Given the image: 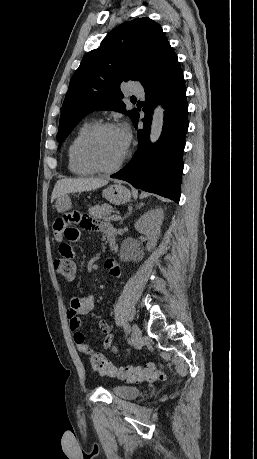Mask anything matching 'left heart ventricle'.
<instances>
[{
	"label": "left heart ventricle",
	"instance_id": "obj_1",
	"mask_svg": "<svg viewBox=\"0 0 257 459\" xmlns=\"http://www.w3.org/2000/svg\"><path fill=\"white\" fill-rule=\"evenodd\" d=\"M125 151L117 128L102 131L90 146L92 158L102 166L115 164Z\"/></svg>",
	"mask_w": 257,
	"mask_h": 459
}]
</instances>
